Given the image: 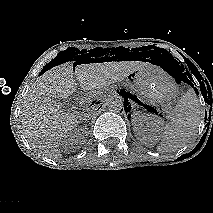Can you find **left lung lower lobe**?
Wrapping results in <instances>:
<instances>
[{
    "label": "left lung lower lobe",
    "mask_w": 213,
    "mask_h": 213,
    "mask_svg": "<svg viewBox=\"0 0 213 213\" xmlns=\"http://www.w3.org/2000/svg\"><path fill=\"white\" fill-rule=\"evenodd\" d=\"M120 95H122V97H124V103H125V100H127L129 97V93H126L124 90H121L120 92H118Z\"/></svg>",
    "instance_id": "obj_1"
}]
</instances>
